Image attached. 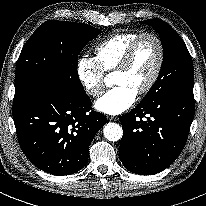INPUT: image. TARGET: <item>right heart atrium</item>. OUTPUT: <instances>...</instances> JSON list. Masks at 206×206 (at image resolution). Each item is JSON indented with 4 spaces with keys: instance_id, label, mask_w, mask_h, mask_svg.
<instances>
[{
    "instance_id": "right-heart-atrium-1",
    "label": "right heart atrium",
    "mask_w": 206,
    "mask_h": 206,
    "mask_svg": "<svg viewBox=\"0 0 206 206\" xmlns=\"http://www.w3.org/2000/svg\"><path fill=\"white\" fill-rule=\"evenodd\" d=\"M104 71L95 57L82 56L77 63V77L84 91L91 97L104 90Z\"/></svg>"
}]
</instances>
